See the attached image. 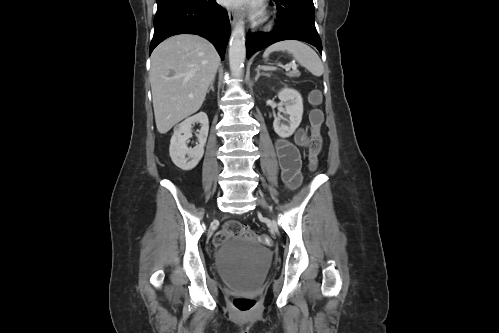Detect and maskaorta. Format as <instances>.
Wrapping results in <instances>:
<instances>
[{"instance_id":"1","label":"aorta","mask_w":499,"mask_h":333,"mask_svg":"<svg viewBox=\"0 0 499 333\" xmlns=\"http://www.w3.org/2000/svg\"><path fill=\"white\" fill-rule=\"evenodd\" d=\"M245 27L243 19H239L232 30L229 44V66L236 77L243 72L245 61Z\"/></svg>"}]
</instances>
